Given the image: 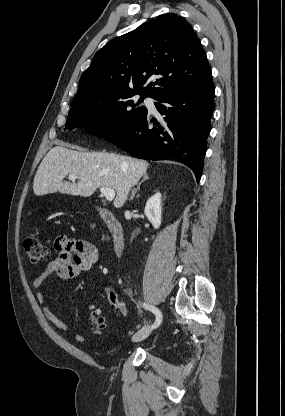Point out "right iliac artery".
Wrapping results in <instances>:
<instances>
[{
  "mask_svg": "<svg viewBox=\"0 0 285 416\" xmlns=\"http://www.w3.org/2000/svg\"><path fill=\"white\" fill-rule=\"evenodd\" d=\"M142 307L145 308L146 310H149V311L153 312L155 314L156 321H155L154 325L152 326V328L158 327L160 325V323L162 322V313H161V311L157 307H155L153 305L146 304V303H142Z\"/></svg>",
  "mask_w": 285,
  "mask_h": 416,
  "instance_id": "82829eb1",
  "label": "right iliac artery"
}]
</instances>
